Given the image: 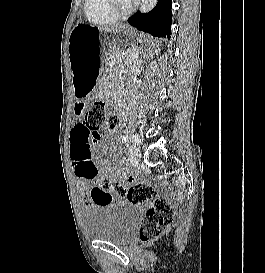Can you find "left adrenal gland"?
I'll return each instance as SVG.
<instances>
[{
    "instance_id": "a2214340",
    "label": "left adrenal gland",
    "mask_w": 265,
    "mask_h": 273,
    "mask_svg": "<svg viewBox=\"0 0 265 273\" xmlns=\"http://www.w3.org/2000/svg\"><path fill=\"white\" fill-rule=\"evenodd\" d=\"M145 56H146V55L144 54V55H143V57H145ZM142 62H143V59H142V58H140V59L138 60V62H137V63H138L139 65H141V64H142Z\"/></svg>"
}]
</instances>
